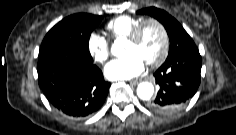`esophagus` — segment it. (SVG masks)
I'll return each mask as SVG.
<instances>
[{
    "label": "esophagus",
    "instance_id": "esophagus-1",
    "mask_svg": "<svg viewBox=\"0 0 236 135\" xmlns=\"http://www.w3.org/2000/svg\"><path fill=\"white\" fill-rule=\"evenodd\" d=\"M141 80L140 79H134V80H130L129 83L132 84V85H136L140 82Z\"/></svg>",
    "mask_w": 236,
    "mask_h": 135
}]
</instances>
